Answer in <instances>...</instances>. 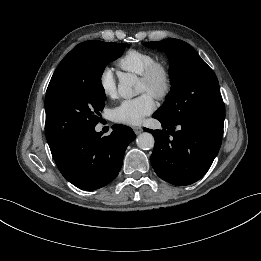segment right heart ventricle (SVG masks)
Segmentation results:
<instances>
[{
	"label": "right heart ventricle",
	"instance_id": "e07e8e85",
	"mask_svg": "<svg viewBox=\"0 0 261 261\" xmlns=\"http://www.w3.org/2000/svg\"><path fill=\"white\" fill-rule=\"evenodd\" d=\"M154 61L156 57L151 52L131 49L117 60V65L123 71L141 75Z\"/></svg>",
	"mask_w": 261,
	"mask_h": 261
}]
</instances>
